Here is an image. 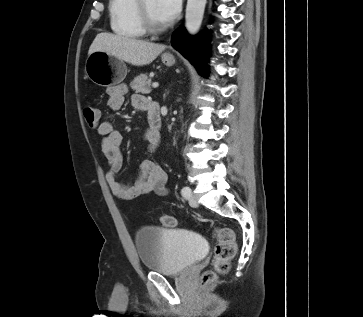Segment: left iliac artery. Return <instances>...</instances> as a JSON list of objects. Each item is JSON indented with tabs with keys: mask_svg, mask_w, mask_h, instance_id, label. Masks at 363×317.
Instances as JSON below:
<instances>
[{
	"mask_svg": "<svg viewBox=\"0 0 363 317\" xmlns=\"http://www.w3.org/2000/svg\"><path fill=\"white\" fill-rule=\"evenodd\" d=\"M190 192H191V189L187 186L183 187L181 190L182 196L186 199H188L190 197Z\"/></svg>",
	"mask_w": 363,
	"mask_h": 317,
	"instance_id": "1",
	"label": "left iliac artery"
}]
</instances>
